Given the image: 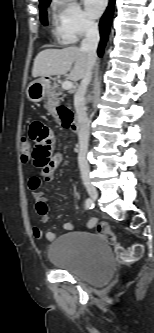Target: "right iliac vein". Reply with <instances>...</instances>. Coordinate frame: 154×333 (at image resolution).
Segmentation results:
<instances>
[{"mask_svg":"<svg viewBox=\"0 0 154 333\" xmlns=\"http://www.w3.org/2000/svg\"><path fill=\"white\" fill-rule=\"evenodd\" d=\"M85 188L87 190V193L89 194V196L91 197L92 200H97L98 198V192L97 189L94 187V185L91 183L90 179L88 177H85L83 179Z\"/></svg>","mask_w":154,"mask_h":333,"instance_id":"right-iliac-vein-1","label":"right iliac vein"}]
</instances>
